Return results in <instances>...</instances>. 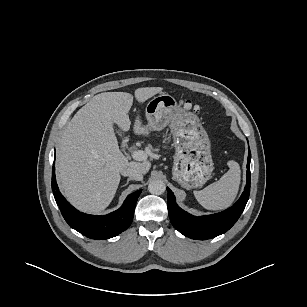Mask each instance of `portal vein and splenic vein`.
<instances>
[{"label": "portal vein and splenic vein", "mask_w": 307, "mask_h": 307, "mask_svg": "<svg viewBox=\"0 0 307 307\" xmlns=\"http://www.w3.org/2000/svg\"><path fill=\"white\" fill-rule=\"evenodd\" d=\"M132 157L136 161H145L148 158V155L145 151L137 150L132 153Z\"/></svg>", "instance_id": "1"}]
</instances>
